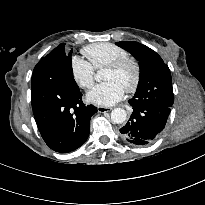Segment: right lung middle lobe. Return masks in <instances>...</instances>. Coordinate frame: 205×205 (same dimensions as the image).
Listing matches in <instances>:
<instances>
[{
    "label": "right lung middle lobe",
    "mask_w": 205,
    "mask_h": 205,
    "mask_svg": "<svg viewBox=\"0 0 205 205\" xmlns=\"http://www.w3.org/2000/svg\"><path fill=\"white\" fill-rule=\"evenodd\" d=\"M63 46H64V44H63ZM44 58H45V57H44ZM44 58H42L41 60H43ZM41 60H40V61H41Z\"/></svg>",
    "instance_id": "dd1d6c3e"
}]
</instances>
